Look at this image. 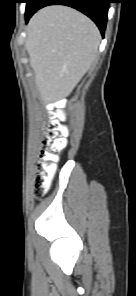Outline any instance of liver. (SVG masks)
<instances>
[{
    "instance_id": "1",
    "label": "liver",
    "mask_w": 136,
    "mask_h": 296,
    "mask_svg": "<svg viewBox=\"0 0 136 296\" xmlns=\"http://www.w3.org/2000/svg\"><path fill=\"white\" fill-rule=\"evenodd\" d=\"M100 43L97 26L62 5L37 11L26 27L25 48L42 100L68 96L94 62Z\"/></svg>"
}]
</instances>
